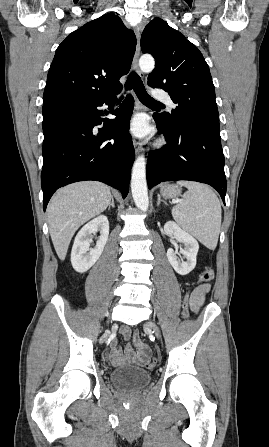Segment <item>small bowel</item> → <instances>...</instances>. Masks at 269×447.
I'll use <instances>...</instances> for the list:
<instances>
[{"mask_svg":"<svg viewBox=\"0 0 269 447\" xmlns=\"http://www.w3.org/2000/svg\"><path fill=\"white\" fill-rule=\"evenodd\" d=\"M210 291V285L209 284H201L195 287L190 295V307L192 311L198 312L200 308L203 306L205 302L206 295ZM120 334L123 338L127 339L131 335V330L129 327H123L120 330ZM142 334L140 332H137L133 335V343L132 344H126L124 348V353L122 354L118 346L113 345L110 350L109 354V360L110 363L113 366H118L123 364L125 361H131L134 364L144 366L142 364V359L144 357H152V356H144L143 355V348L149 347L146 343H144L141 340ZM134 347L137 350V353L134 351Z\"/></svg>","mask_w":269,"mask_h":447,"instance_id":"obj_1","label":"small bowel"}]
</instances>
